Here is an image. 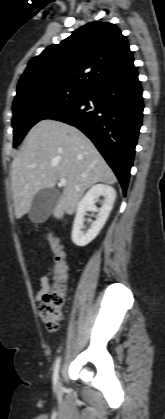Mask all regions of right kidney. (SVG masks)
<instances>
[{"mask_svg":"<svg viewBox=\"0 0 165 419\" xmlns=\"http://www.w3.org/2000/svg\"><path fill=\"white\" fill-rule=\"evenodd\" d=\"M100 196L104 197V200L102 201V207L97 208L95 206V200ZM115 198L116 191L113 187L106 184H96L86 192L78 203L72 228L71 238L77 246H86L96 238L108 219ZM87 211H97L98 215L97 219L91 223V227L84 233L81 231V228Z\"/></svg>","mask_w":165,"mask_h":419,"instance_id":"ca27d5eb","label":"right kidney"}]
</instances>
